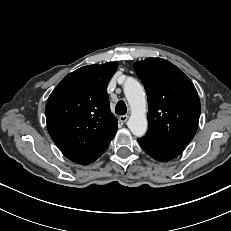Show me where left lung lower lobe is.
<instances>
[{
	"label": "left lung lower lobe",
	"mask_w": 231,
	"mask_h": 231,
	"mask_svg": "<svg viewBox=\"0 0 231 231\" xmlns=\"http://www.w3.org/2000/svg\"><path fill=\"white\" fill-rule=\"evenodd\" d=\"M138 143L148 155L161 162L172 160L182 153L181 150L163 144L147 135L139 138Z\"/></svg>",
	"instance_id": "obj_1"
}]
</instances>
